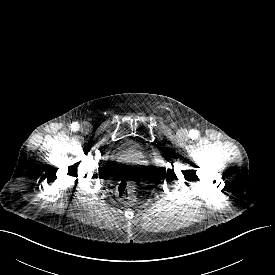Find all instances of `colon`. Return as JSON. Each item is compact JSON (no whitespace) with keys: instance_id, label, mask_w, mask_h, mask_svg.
<instances>
[{"instance_id":"obj_1","label":"colon","mask_w":275,"mask_h":275,"mask_svg":"<svg viewBox=\"0 0 275 275\" xmlns=\"http://www.w3.org/2000/svg\"><path fill=\"white\" fill-rule=\"evenodd\" d=\"M136 186L131 181H122L117 186V195L119 199L127 204L135 201Z\"/></svg>"}]
</instances>
